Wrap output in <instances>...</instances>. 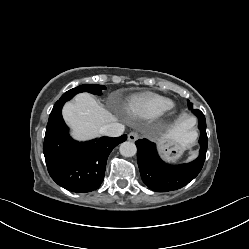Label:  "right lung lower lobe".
Returning a JSON list of instances; mask_svg holds the SVG:
<instances>
[{
  "label": "right lung lower lobe",
  "mask_w": 249,
  "mask_h": 249,
  "mask_svg": "<svg viewBox=\"0 0 249 249\" xmlns=\"http://www.w3.org/2000/svg\"><path fill=\"white\" fill-rule=\"evenodd\" d=\"M64 103L54 105L46 127L43 152L51 178L72 192H91L101 185L110 152L127 135L118 138L101 137L77 142L68 135L62 118Z\"/></svg>",
  "instance_id": "1"
}]
</instances>
